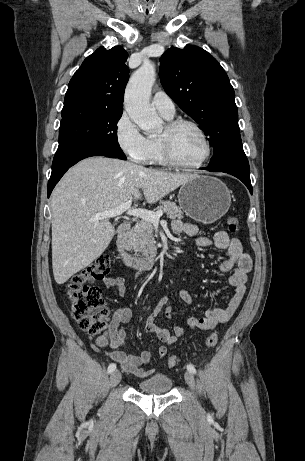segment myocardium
I'll return each instance as SVG.
<instances>
[{
	"mask_svg": "<svg viewBox=\"0 0 305 461\" xmlns=\"http://www.w3.org/2000/svg\"><path fill=\"white\" fill-rule=\"evenodd\" d=\"M183 126H190L194 128L198 134L201 136L204 145H205V154L202 159L194 164H187L182 162L178 159V157L174 153L173 149V138L175 133L178 131L179 128ZM159 142L161 145L162 153L165 160L178 168L186 169V170H194L202 167L210 158L212 152V146L210 140L203 130V128L196 122L189 120V119H175L171 120L167 123L165 128V133L160 136Z\"/></svg>",
	"mask_w": 305,
	"mask_h": 461,
	"instance_id": "f54148a6",
	"label": "myocardium"
}]
</instances>
